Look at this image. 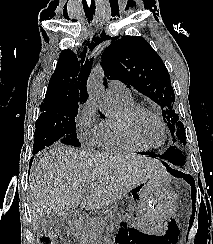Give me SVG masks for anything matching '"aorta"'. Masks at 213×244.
Listing matches in <instances>:
<instances>
[{
	"instance_id": "762f6f07",
	"label": "aorta",
	"mask_w": 213,
	"mask_h": 244,
	"mask_svg": "<svg viewBox=\"0 0 213 244\" xmlns=\"http://www.w3.org/2000/svg\"><path fill=\"white\" fill-rule=\"evenodd\" d=\"M104 70L101 66L93 68L87 83L89 99L95 103L105 116H113L114 102L103 86Z\"/></svg>"
}]
</instances>
